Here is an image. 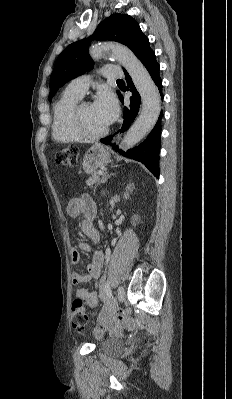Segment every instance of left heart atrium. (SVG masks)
<instances>
[{"label":"left heart atrium","instance_id":"1","mask_svg":"<svg viewBox=\"0 0 232 399\" xmlns=\"http://www.w3.org/2000/svg\"><path fill=\"white\" fill-rule=\"evenodd\" d=\"M92 110L108 127L115 122L119 114L118 105L109 93L100 95L92 105Z\"/></svg>","mask_w":232,"mask_h":399}]
</instances>
